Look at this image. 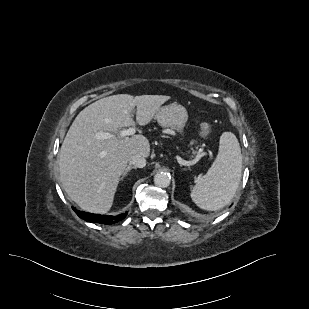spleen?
I'll return each mask as SVG.
<instances>
[{
  "label": "spleen",
  "mask_w": 309,
  "mask_h": 309,
  "mask_svg": "<svg viewBox=\"0 0 309 309\" xmlns=\"http://www.w3.org/2000/svg\"><path fill=\"white\" fill-rule=\"evenodd\" d=\"M242 171V154L236 136L224 132L220 136L218 155L208 172L191 191L193 202L201 209L216 211L234 197Z\"/></svg>",
  "instance_id": "3e777b00"
}]
</instances>
